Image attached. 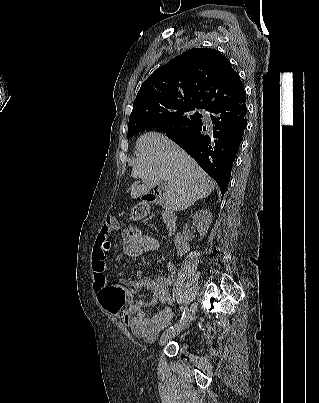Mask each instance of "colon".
I'll use <instances>...</instances> for the list:
<instances>
[{"label": "colon", "mask_w": 319, "mask_h": 403, "mask_svg": "<svg viewBox=\"0 0 319 403\" xmlns=\"http://www.w3.org/2000/svg\"><path fill=\"white\" fill-rule=\"evenodd\" d=\"M123 243H126V260H139L140 254L155 258V249H159V240H156L155 234H147L144 226H127Z\"/></svg>", "instance_id": "5ec220e1"}]
</instances>
